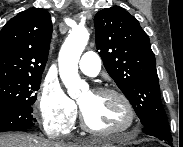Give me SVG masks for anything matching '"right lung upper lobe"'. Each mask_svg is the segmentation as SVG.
Here are the masks:
<instances>
[{
    "label": "right lung upper lobe",
    "instance_id": "cb5924a9",
    "mask_svg": "<svg viewBox=\"0 0 183 147\" xmlns=\"http://www.w3.org/2000/svg\"><path fill=\"white\" fill-rule=\"evenodd\" d=\"M51 34L45 9L30 8L10 19L0 31V80L42 75Z\"/></svg>",
    "mask_w": 183,
    "mask_h": 147
}]
</instances>
